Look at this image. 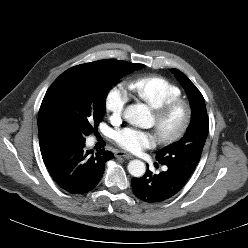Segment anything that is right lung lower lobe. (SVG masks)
Wrapping results in <instances>:
<instances>
[{
    "label": "right lung lower lobe",
    "instance_id": "right-lung-lower-lobe-1",
    "mask_svg": "<svg viewBox=\"0 0 248 248\" xmlns=\"http://www.w3.org/2000/svg\"><path fill=\"white\" fill-rule=\"evenodd\" d=\"M85 142H62L42 153L43 161L55 180L65 191L84 194L94 189L103 176L105 163L113 153L100 150L95 155L85 150Z\"/></svg>",
    "mask_w": 248,
    "mask_h": 248
}]
</instances>
